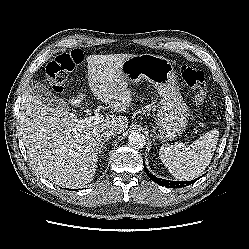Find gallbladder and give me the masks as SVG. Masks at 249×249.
Masks as SVG:
<instances>
[{"label": "gallbladder", "mask_w": 249, "mask_h": 249, "mask_svg": "<svg viewBox=\"0 0 249 249\" xmlns=\"http://www.w3.org/2000/svg\"><path fill=\"white\" fill-rule=\"evenodd\" d=\"M26 90L43 103L62 110H69L67 102L57 97L52 91L44 84L38 81H31Z\"/></svg>", "instance_id": "1"}]
</instances>
